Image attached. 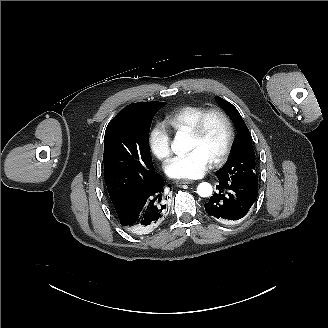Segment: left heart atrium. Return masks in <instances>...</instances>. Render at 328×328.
Listing matches in <instances>:
<instances>
[{"instance_id":"1","label":"left heart atrium","mask_w":328,"mask_h":328,"mask_svg":"<svg viewBox=\"0 0 328 328\" xmlns=\"http://www.w3.org/2000/svg\"><path fill=\"white\" fill-rule=\"evenodd\" d=\"M212 167V160L200 150H191L177 155L164 164L168 176L178 179H198Z\"/></svg>"}]
</instances>
